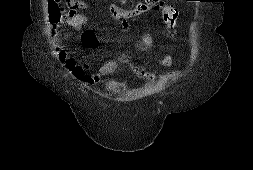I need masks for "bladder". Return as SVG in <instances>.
Returning a JSON list of instances; mask_svg holds the SVG:
<instances>
[{
    "mask_svg": "<svg viewBox=\"0 0 253 170\" xmlns=\"http://www.w3.org/2000/svg\"><path fill=\"white\" fill-rule=\"evenodd\" d=\"M120 89L119 81L117 80H111L107 84V90L109 92L115 93Z\"/></svg>",
    "mask_w": 253,
    "mask_h": 170,
    "instance_id": "bladder-1",
    "label": "bladder"
}]
</instances>
